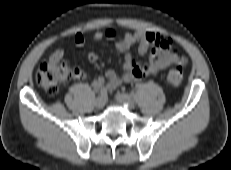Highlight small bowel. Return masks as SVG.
Here are the masks:
<instances>
[{
	"mask_svg": "<svg viewBox=\"0 0 231 170\" xmlns=\"http://www.w3.org/2000/svg\"><path fill=\"white\" fill-rule=\"evenodd\" d=\"M116 35L114 30L97 31L93 35L96 42L102 41L104 38H113ZM74 42L77 47H83L85 38L81 33L74 36ZM137 46L138 53L145 55L149 51L148 62L143 64L134 60L131 49ZM173 41L155 32L138 31L134 33H126L116 43V48L120 53L124 54V62L122 65L123 72L121 74L114 70H108L104 76H98L92 80V87L95 89H105L113 91L122 83H131L145 76L157 75L171 64L184 65L186 59L172 51ZM64 51L62 49L55 50L49 61L56 63L63 58ZM88 60L92 63L98 60V55L94 52L88 53Z\"/></svg>",
	"mask_w": 231,
	"mask_h": 170,
	"instance_id": "obj_1",
	"label": "small bowel"
}]
</instances>
